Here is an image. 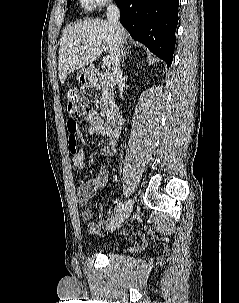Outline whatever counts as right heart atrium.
I'll return each mask as SVG.
<instances>
[{
    "label": "right heart atrium",
    "mask_w": 239,
    "mask_h": 303,
    "mask_svg": "<svg viewBox=\"0 0 239 303\" xmlns=\"http://www.w3.org/2000/svg\"><path fill=\"white\" fill-rule=\"evenodd\" d=\"M79 1H80V5L83 8L91 10L104 6L112 0H79Z\"/></svg>",
    "instance_id": "d8ad5b80"
}]
</instances>
